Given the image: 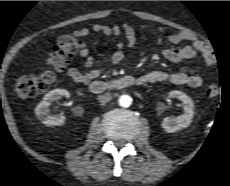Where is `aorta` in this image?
Returning a JSON list of instances; mask_svg holds the SVG:
<instances>
[{"instance_id": "aorta-1", "label": "aorta", "mask_w": 230, "mask_h": 186, "mask_svg": "<svg viewBox=\"0 0 230 186\" xmlns=\"http://www.w3.org/2000/svg\"><path fill=\"white\" fill-rule=\"evenodd\" d=\"M118 102L122 107H129L132 103V98L129 95H121Z\"/></svg>"}]
</instances>
